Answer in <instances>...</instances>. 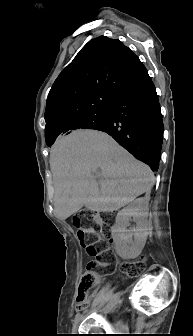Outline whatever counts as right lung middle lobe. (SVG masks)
I'll list each match as a JSON object with an SVG mask.
<instances>
[{"label":"right lung middle lobe","instance_id":"obj_1","mask_svg":"<svg viewBox=\"0 0 193 336\" xmlns=\"http://www.w3.org/2000/svg\"><path fill=\"white\" fill-rule=\"evenodd\" d=\"M109 108L94 110L77 118L74 123V130L76 129H101L107 121ZM46 143L51 146L54 141L47 139Z\"/></svg>","mask_w":193,"mask_h":336}]
</instances>
